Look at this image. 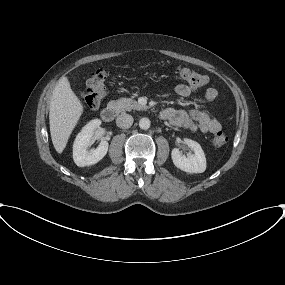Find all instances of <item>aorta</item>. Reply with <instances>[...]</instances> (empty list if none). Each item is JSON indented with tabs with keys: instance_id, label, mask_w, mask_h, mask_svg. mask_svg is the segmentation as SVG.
<instances>
[{
	"instance_id": "aorta-1",
	"label": "aorta",
	"mask_w": 285,
	"mask_h": 285,
	"mask_svg": "<svg viewBox=\"0 0 285 285\" xmlns=\"http://www.w3.org/2000/svg\"><path fill=\"white\" fill-rule=\"evenodd\" d=\"M139 127L143 130H147L150 127V120L148 118H141L139 121Z\"/></svg>"
}]
</instances>
